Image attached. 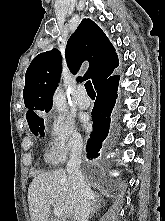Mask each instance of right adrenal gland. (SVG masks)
<instances>
[{
    "instance_id": "obj_1",
    "label": "right adrenal gland",
    "mask_w": 165,
    "mask_h": 221,
    "mask_svg": "<svg viewBox=\"0 0 165 221\" xmlns=\"http://www.w3.org/2000/svg\"><path fill=\"white\" fill-rule=\"evenodd\" d=\"M103 203V199L100 196H95L92 202V209L90 213V218L94 215V213L101 208Z\"/></svg>"
}]
</instances>
